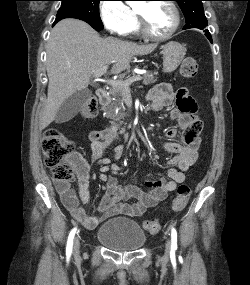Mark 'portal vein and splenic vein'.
Listing matches in <instances>:
<instances>
[{"label": "portal vein and splenic vein", "instance_id": "1", "mask_svg": "<svg viewBox=\"0 0 250 285\" xmlns=\"http://www.w3.org/2000/svg\"><path fill=\"white\" fill-rule=\"evenodd\" d=\"M114 62V61H113ZM108 66H103L97 72L94 73V76L99 79L104 73H106ZM142 80L140 75L134 76L127 81H119V80H109L107 83L112 86H119L123 88L125 91L129 90V85L133 82Z\"/></svg>", "mask_w": 250, "mask_h": 285}]
</instances>
